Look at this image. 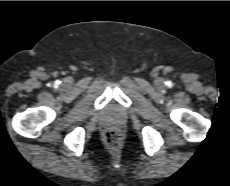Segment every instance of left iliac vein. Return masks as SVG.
I'll return each instance as SVG.
<instances>
[{"label": "left iliac vein", "instance_id": "4c4485c4", "mask_svg": "<svg viewBox=\"0 0 230 186\" xmlns=\"http://www.w3.org/2000/svg\"><path fill=\"white\" fill-rule=\"evenodd\" d=\"M156 84L159 85V86H161L163 84V80L162 79H158L156 81Z\"/></svg>", "mask_w": 230, "mask_h": 186}]
</instances>
